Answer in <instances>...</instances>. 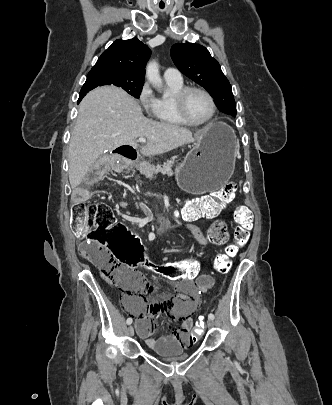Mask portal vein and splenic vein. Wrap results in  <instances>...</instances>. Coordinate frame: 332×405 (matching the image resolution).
<instances>
[{
  "instance_id": "obj_1",
  "label": "portal vein and splenic vein",
  "mask_w": 332,
  "mask_h": 405,
  "mask_svg": "<svg viewBox=\"0 0 332 405\" xmlns=\"http://www.w3.org/2000/svg\"><path fill=\"white\" fill-rule=\"evenodd\" d=\"M138 141H139L140 143H146V139H145V138H142V137H140V138L138 139Z\"/></svg>"
}]
</instances>
